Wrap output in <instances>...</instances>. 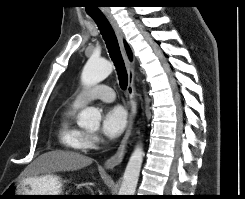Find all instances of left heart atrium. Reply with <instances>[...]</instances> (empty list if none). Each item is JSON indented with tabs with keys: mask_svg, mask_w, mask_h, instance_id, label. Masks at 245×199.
<instances>
[{
	"mask_svg": "<svg viewBox=\"0 0 245 199\" xmlns=\"http://www.w3.org/2000/svg\"><path fill=\"white\" fill-rule=\"evenodd\" d=\"M127 124V115L121 106H112L105 110L102 118L101 132L109 139L122 134Z\"/></svg>",
	"mask_w": 245,
	"mask_h": 199,
	"instance_id": "39dd6f15",
	"label": "left heart atrium"
}]
</instances>
